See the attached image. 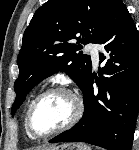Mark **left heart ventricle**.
Wrapping results in <instances>:
<instances>
[{"instance_id": "b2bd125f", "label": "left heart ventricle", "mask_w": 139, "mask_h": 150, "mask_svg": "<svg viewBox=\"0 0 139 150\" xmlns=\"http://www.w3.org/2000/svg\"><path fill=\"white\" fill-rule=\"evenodd\" d=\"M74 113V103L65 93H51L43 97L33 115V127L47 133L66 124Z\"/></svg>"}]
</instances>
